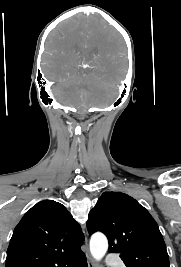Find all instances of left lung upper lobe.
<instances>
[{
    "label": "left lung upper lobe",
    "mask_w": 181,
    "mask_h": 267,
    "mask_svg": "<svg viewBox=\"0 0 181 267\" xmlns=\"http://www.w3.org/2000/svg\"><path fill=\"white\" fill-rule=\"evenodd\" d=\"M87 229L104 233L109 252L119 253L126 267H170L156 221L127 194L103 193L89 213Z\"/></svg>",
    "instance_id": "left-lung-upper-lobe-1"
}]
</instances>
